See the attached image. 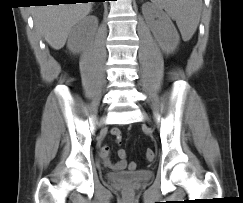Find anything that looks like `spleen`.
Segmentation results:
<instances>
[{
	"label": "spleen",
	"instance_id": "spleen-1",
	"mask_svg": "<svg viewBox=\"0 0 243 203\" xmlns=\"http://www.w3.org/2000/svg\"><path fill=\"white\" fill-rule=\"evenodd\" d=\"M176 21L184 41L194 35L200 21L202 0H151Z\"/></svg>",
	"mask_w": 243,
	"mask_h": 203
}]
</instances>
